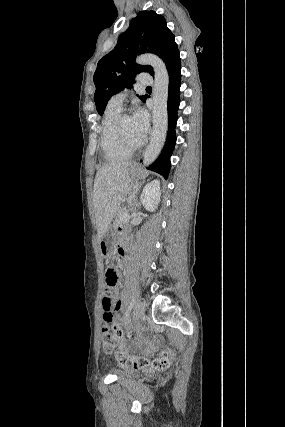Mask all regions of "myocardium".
Listing matches in <instances>:
<instances>
[{
  "label": "myocardium",
  "mask_w": 285,
  "mask_h": 427,
  "mask_svg": "<svg viewBox=\"0 0 285 427\" xmlns=\"http://www.w3.org/2000/svg\"><path fill=\"white\" fill-rule=\"evenodd\" d=\"M127 116H130V114L127 112H121L119 114V116L117 117V120H116L115 130H116L117 136H118L121 144L126 149H128L130 151H135V150L141 148L144 145L145 141L142 140L138 143H132L128 140V138L126 137L124 130H123V121Z\"/></svg>",
  "instance_id": "f54148a6"
}]
</instances>
